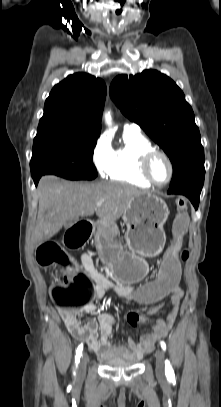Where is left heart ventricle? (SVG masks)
I'll use <instances>...</instances> for the list:
<instances>
[{"instance_id": "obj_1", "label": "left heart ventricle", "mask_w": 221, "mask_h": 407, "mask_svg": "<svg viewBox=\"0 0 221 407\" xmlns=\"http://www.w3.org/2000/svg\"><path fill=\"white\" fill-rule=\"evenodd\" d=\"M152 177L157 182H164L169 177V165L166 159L160 155L155 156L150 165Z\"/></svg>"}]
</instances>
